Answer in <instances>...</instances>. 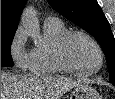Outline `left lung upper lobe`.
I'll use <instances>...</instances> for the list:
<instances>
[{
    "label": "left lung upper lobe",
    "instance_id": "obj_1",
    "mask_svg": "<svg viewBox=\"0 0 115 99\" xmlns=\"http://www.w3.org/2000/svg\"><path fill=\"white\" fill-rule=\"evenodd\" d=\"M61 15L91 34L106 56L110 82L115 85V39L97 0H48Z\"/></svg>",
    "mask_w": 115,
    "mask_h": 99
}]
</instances>
